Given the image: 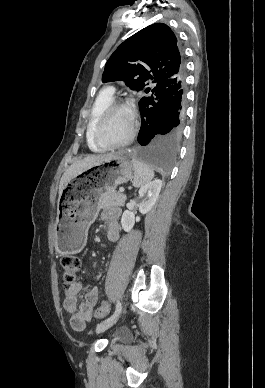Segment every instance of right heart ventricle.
Wrapping results in <instances>:
<instances>
[{"instance_id":"obj_1","label":"right heart ventricle","mask_w":265,"mask_h":388,"mask_svg":"<svg viewBox=\"0 0 265 388\" xmlns=\"http://www.w3.org/2000/svg\"><path fill=\"white\" fill-rule=\"evenodd\" d=\"M113 101H114L113 93L111 91H103L92 107L86 136H87V142L89 147L94 151H101L104 149L103 147L96 144V142L94 141V138H93L94 123L98 115L102 111V109L108 104L112 103Z\"/></svg>"}]
</instances>
